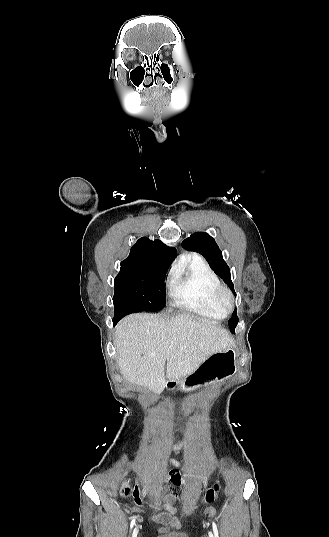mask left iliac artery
Listing matches in <instances>:
<instances>
[{"instance_id":"44dca946","label":"left iliac artery","mask_w":329,"mask_h":537,"mask_svg":"<svg viewBox=\"0 0 329 537\" xmlns=\"http://www.w3.org/2000/svg\"><path fill=\"white\" fill-rule=\"evenodd\" d=\"M212 527H213L214 536L219 537L218 530H217V525H216L215 522L212 523Z\"/></svg>"}]
</instances>
